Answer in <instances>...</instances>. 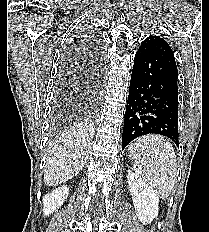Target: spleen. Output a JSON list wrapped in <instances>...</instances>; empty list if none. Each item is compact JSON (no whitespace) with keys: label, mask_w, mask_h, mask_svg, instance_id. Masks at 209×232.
I'll list each match as a JSON object with an SVG mask.
<instances>
[{"label":"spleen","mask_w":209,"mask_h":232,"mask_svg":"<svg viewBox=\"0 0 209 232\" xmlns=\"http://www.w3.org/2000/svg\"><path fill=\"white\" fill-rule=\"evenodd\" d=\"M134 171L162 198H167L176 181L177 161L172 144L160 135L136 139L128 147Z\"/></svg>","instance_id":"3e777b00"}]
</instances>
